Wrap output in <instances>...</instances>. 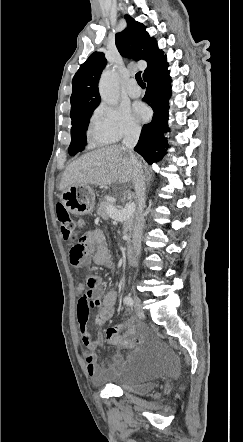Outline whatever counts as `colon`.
I'll return each mask as SVG.
<instances>
[{
    "label": "colon",
    "instance_id": "5ec220e1",
    "mask_svg": "<svg viewBox=\"0 0 243 442\" xmlns=\"http://www.w3.org/2000/svg\"><path fill=\"white\" fill-rule=\"evenodd\" d=\"M56 214L65 240L74 243L70 250L69 257L73 262L82 261L85 256V245L83 238L80 236L83 222L81 220H75L70 215L67 207L62 203L56 205Z\"/></svg>",
    "mask_w": 243,
    "mask_h": 442
}]
</instances>
